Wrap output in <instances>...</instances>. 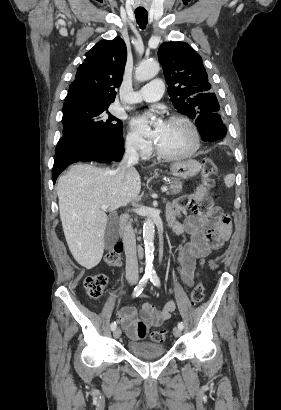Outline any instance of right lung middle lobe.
Masks as SVG:
<instances>
[{"instance_id":"1","label":"right lung middle lobe","mask_w":281,"mask_h":410,"mask_svg":"<svg viewBox=\"0 0 281 410\" xmlns=\"http://www.w3.org/2000/svg\"><path fill=\"white\" fill-rule=\"evenodd\" d=\"M108 107L84 103L63 106V136L56 149L77 142L122 138V122L108 113Z\"/></svg>"}]
</instances>
